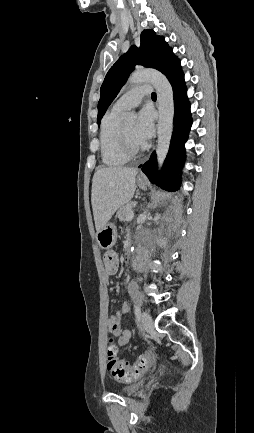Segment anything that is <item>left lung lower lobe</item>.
Returning a JSON list of instances; mask_svg holds the SVG:
<instances>
[{
	"mask_svg": "<svg viewBox=\"0 0 254 433\" xmlns=\"http://www.w3.org/2000/svg\"><path fill=\"white\" fill-rule=\"evenodd\" d=\"M164 75L168 78L173 88L175 115L170 149L159 176L158 184L165 190L176 191L180 186L178 173L185 160L184 144L187 141L192 122L190 104L187 99V90L180 61L176 59L165 71ZM139 167L142 168V171L152 183L157 182V159L155 152L144 165H140Z\"/></svg>",
	"mask_w": 254,
	"mask_h": 433,
	"instance_id": "1",
	"label": "left lung lower lobe"
}]
</instances>
